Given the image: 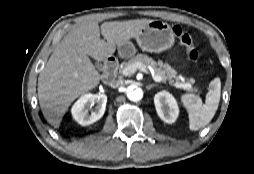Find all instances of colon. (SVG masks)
<instances>
[{
  "instance_id": "obj_1",
  "label": "colon",
  "mask_w": 254,
  "mask_h": 174,
  "mask_svg": "<svg viewBox=\"0 0 254 174\" xmlns=\"http://www.w3.org/2000/svg\"><path fill=\"white\" fill-rule=\"evenodd\" d=\"M174 34L181 43V45L184 47L186 54L188 56V59L191 62L197 61L199 57V52L197 48L194 45V42L192 40V37L189 33L184 31L181 27L175 26L173 28Z\"/></svg>"
}]
</instances>
